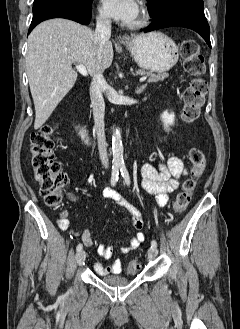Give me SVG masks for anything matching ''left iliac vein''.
Returning a JSON list of instances; mask_svg holds the SVG:
<instances>
[{
    "label": "left iliac vein",
    "instance_id": "1",
    "mask_svg": "<svg viewBox=\"0 0 240 329\" xmlns=\"http://www.w3.org/2000/svg\"><path fill=\"white\" fill-rule=\"evenodd\" d=\"M157 249L156 248H149V250H148V258L150 259V260H152V259H154L156 256H157Z\"/></svg>",
    "mask_w": 240,
    "mask_h": 329
}]
</instances>
